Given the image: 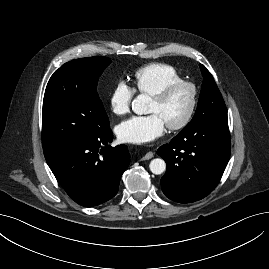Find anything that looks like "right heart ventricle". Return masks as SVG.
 <instances>
[{
  "mask_svg": "<svg viewBox=\"0 0 269 269\" xmlns=\"http://www.w3.org/2000/svg\"><path fill=\"white\" fill-rule=\"evenodd\" d=\"M182 80L178 70L169 64L151 63L137 69L133 74L134 90L153 95L169 83Z\"/></svg>",
  "mask_w": 269,
  "mask_h": 269,
  "instance_id": "obj_1",
  "label": "right heart ventricle"
}]
</instances>
